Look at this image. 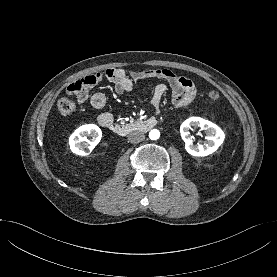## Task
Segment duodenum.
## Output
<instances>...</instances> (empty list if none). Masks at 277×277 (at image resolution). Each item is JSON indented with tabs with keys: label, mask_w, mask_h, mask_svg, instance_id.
Instances as JSON below:
<instances>
[{
	"label": "duodenum",
	"mask_w": 277,
	"mask_h": 277,
	"mask_svg": "<svg viewBox=\"0 0 277 277\" xmlns=\"http://www.w3.org/2000/svg\"><path fill=\"white\" fill-rule=\"evenodd\" d=\"M156 124H157V120L155 118H148L142 121L127 123V124L115 123L113 121H105L102 124V126L109 129L110 131H112L117 135L126 136L136 131H141V132L149 131L153 127H155Z\"/></svg>",
	"instance_id": "1"
}]
</instances>
